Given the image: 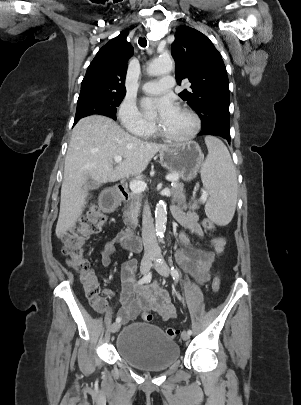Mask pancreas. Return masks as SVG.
I'll return each instance as SVG.
<instances>
[{"label":"pancreas","mask_w":301,"mask_h":405,"mask_svg":"<svg viewBox=\"0 0 301 405\" xmlns=\"http://www.w3.org/2000/svg\"><path fill=\"white\" fill-rule=\"evenodd\" d=\"M179 176V173H173ZM172 202H177L179 205H182L184 208L189 207V209L195 210L198 209V203L194 201L193 203H189L186 205V197L183 190V184L179 183L177 180L174 181V186L172 187ZM143 196L141 194H132L129 204L125 210V217L128 220H132L133 222L138 221V216L140 213L141 208V201Z\"/></svg>","instance_id":"cf45deb5"}]
</instances>
